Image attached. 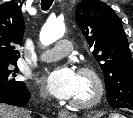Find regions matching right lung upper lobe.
<instances>
[{
    "instance_id": "cb5924a9",
    "label": "right lung upper lobe",
    "mask_w": 133,
    "mask_h": 118,
    "mask_svg": "<svg viewBox=\"0 0 133 118\" xmlns=\"http://www.w3.org/2000/svg\"><path fill=\"white\" fill-rule=\"evenodd\" d=\"M25 30L19 6L13 2L0 5V62H17L15 45H21Z\"/></svg>"
}]
</instances>
